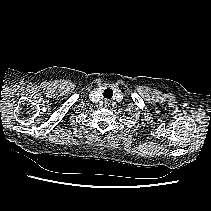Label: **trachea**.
Returning <instances> with one entry per match:
<instances>
[{
    "label": "trachea",
    "instance_id": "obj_1",
    "mask_svg": "<svg viewBox=\"0 0 211 211\" xmlns=\"http://www.w3.org/2000/svg\"><path fill=\"white\" fill-rule=\"evenodd\" d=\"M104 94L107 95L106 98H109L110 99L112 97V90L111 89H106L105 92H104Z\"/></svg>",
    "mask_w": 211,
    "mask_h": 211
}]
</instances>
